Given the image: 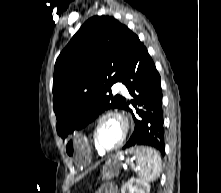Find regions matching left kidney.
I'll use <instances>...</instances> for the list:
<instances>
[{
    "label": "left kidney",
    "instance_id": "1",
    "mask_svg": "<svg viewBox=\"0 0 221 193\" xmlns=\"http://www.w3.org/2000/svg\"><path fill=\"white\" fill-rule=\"evenodd\" d=\"M121 193H150V186L146 181L131 178L124 184Z\"/></svg>",
    "mask_w": 221,
    "mask_h": 193
}]
</instances>
